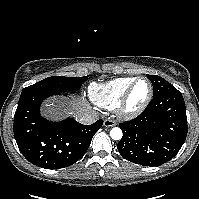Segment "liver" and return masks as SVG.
<instances>
[{"instance_id":"liver-1","label":"liver","mask_w":199,"mask_h":199,"mask_svg":"<svg viewBox=\"0 0 199 199\" xmlns=\"http://www.w3.org/2000/svg\"><path fill=\"white\" fill-rule=\"evenodd\" d=\"M43 107V114L51 118H57L63 115H71L78 118L90 111L89 106L82 98H72L69 101L53 98L45 103Z\"/></svg>"}]
</instances>
